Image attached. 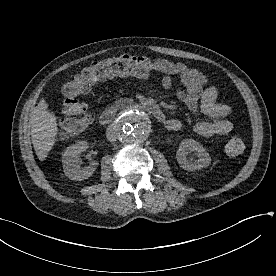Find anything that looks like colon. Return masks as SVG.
<instances>
[{
	"label": "colon",
	"instance_id": "5ec220e1",
	"mask_svg": "<svg viewBox=\"0 0 276 276\" xmlns=\"http://www.w3.org/2000/svg\"><path fill=\"white\" fill-rule=\"evenodd\" d=\"M153 72H155L153 60L130 54L106 58L92 63L63 87L64 119L60 125L61 136L80 133L91 123L87 105L80 102L78 97L87 94L95 84L119 75L149 77ZM244 150V140L238 133L232 135L225 146V151L229 156H238Z\"/></svg>",
	"mask_w": 276,
	"mask_h": 276
}]
</instances>
